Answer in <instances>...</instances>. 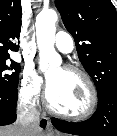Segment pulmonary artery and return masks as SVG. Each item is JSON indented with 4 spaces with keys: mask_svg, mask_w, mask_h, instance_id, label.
Instances as JSON below:
<instances>
[{
    "mask_svg": "<svg viewBox=\"0 0 117 136\" xmlns=\"http://www.w3.org/2000/svg\"><path fill=\"white\" fill-rule=\"evenodd\" d=\"M55 46L64 54L70 53L74 48L72 36L66 32H58L55 38Z\"/></svg>",
    "mask_w": 117,
    "mask_h": 136,
    "instance_id": "obj_1",
    "label": "pulmonary artery"
}]
</instances>
